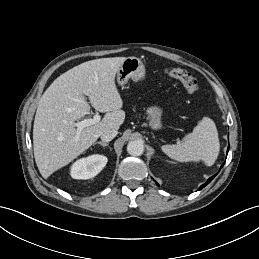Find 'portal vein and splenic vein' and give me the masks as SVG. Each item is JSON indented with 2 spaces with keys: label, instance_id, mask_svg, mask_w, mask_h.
Listing matches in <instances>:
<instances>
[{
  "label": "portal vein and splenic vein",
  "instance_id": "1",
  "mask_svg": "<svg viewBox=\"0 0 259 259\" xmlns=\"http://www.w3.org/2000/svg\"><path fill=\"white\" fill-rule=\"evenodd\" d=\"M100 118H101L100 115L96 113L94 117L91 119H85L80 122L73 123V125L77 128L76 130L77 137L85 127L98 123L100 121Z\"/></svg>",
  "mask_w": 259,
  "mask_h": 259
}]
</instances>
